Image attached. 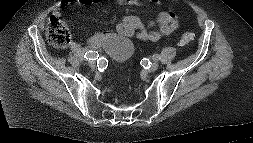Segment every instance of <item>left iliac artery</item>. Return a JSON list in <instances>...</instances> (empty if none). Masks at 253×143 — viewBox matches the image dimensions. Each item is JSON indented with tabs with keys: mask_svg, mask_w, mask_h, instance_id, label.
<instances>
[{
	"mask_svg": "<svg viewBox=\"0 0 253 143\" xmlns=\"http://www.w3.org/2000/svg\"><path fill=\"white\" fill-rule=\"evenodd\" d=\"M160 59V56L158 54L153 55V60L158 61Z\"/></svg>",
	"mask_w": 253,
	"mask_h": 143,
	"instance_id": "1",
	"label": "left iliac artery"
}]
</instances>
